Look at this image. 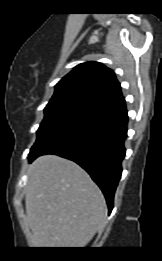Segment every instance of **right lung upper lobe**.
I'll return each mask as SVG.
<instances>
[{"instance_id": "obj_1", "label": "right lung upper lobe", "mask_w": 162, "mask_h": 261, "mask_svg": "<svg viewBox=\"0 0 162 261\" xmlns=\"http://www.w3.org/2000/svg\"><path fill=\"white\" fill-rule=\"evenodd\" d=\"M77 92L109 104L123 98L121 87L114 72L98 62L77 65L55 86V93Z\"/></svg>"}]
</instances>
